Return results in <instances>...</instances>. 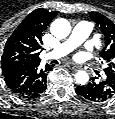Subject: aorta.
Returning <instances> with one entry per match:
<instances>
[{
	"label": "aorta",
	"mask_w": 115,
	"mask_h": 119,
	"mask_svg": "<svg viewBox=\"0 0 115 119\" xmlns=\"http://www.w3.org/2000/svg\"><path fill=\"white\" fill-rule=\"evenodd\" d=\"M50 31L55 37L64 39L70 34L71 26L66 19H56L52 22ZM74 77L79 85H85L89 81V75L85 71H78Z\"/></svg>",
	"instance_id": "762f6f07"
}]
</instances>
